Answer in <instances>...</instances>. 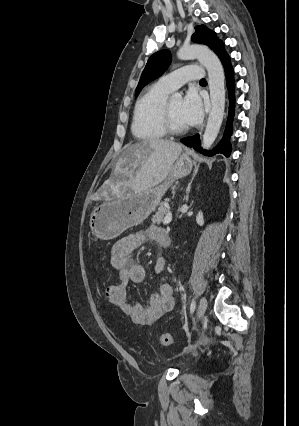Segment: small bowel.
I'll list each match as a JSON object with an SVG mask.
<instances>
[{"mask_svg":"<svg viewBox=\"0 0 299 426\" xmlns=\"http://www.w3.org/2000/svg\"><path fill=\"white\" fill-rule=\"evenodd\" d=\"M165 232L156 226L146 230L136 231L118 240L111 250V264L118 272L119 284L126 290L130 282L140 283L145 278L143 266L134 260L135 251L143 244L155 246L162 244ZM166 267L164 257L156 258L153 269L156 275L163 272ZM173 288L169 283H161L158 291L151 294L149 303L143 307L139 303L125 301L121 310L140 325H150L174 307Z\"/></svg>","mask_w":299,"mask_h":426,"instance_id":"small-bowel-1","label":"small bowel"}]
</instances>
